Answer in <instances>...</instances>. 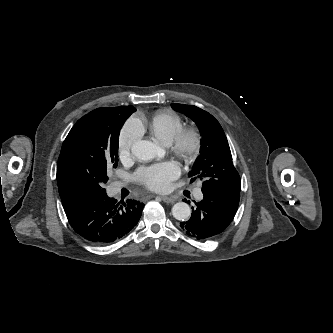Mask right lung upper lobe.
<instances>
[{
  "instance_id": "obj_1",
  "label": "right lung upper lobe",
  "mask_w": 333,
  "mask_h": 333,
  "mask_svg": "<svg viewBox=\"0 0 333 333\" xmlns=\"http://www.w3.org/2000/svg\"><path fill=\"white\" fill-rule=\"evenodd\" d=\"M61 201H62V203H66V201H64V200L62 199V196H61Z\"/></svg>"
}]
</instances>
